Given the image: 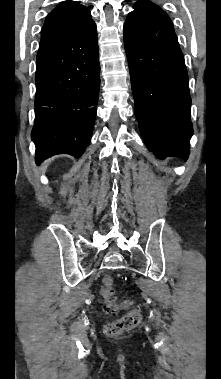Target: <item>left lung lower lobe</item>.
<instances>
[{
  "label": "left lung lower lobe",
  "mask_w": 221,
  "mask_h": 379,
  "mask_svg": "<svg viewBox=\"0 0 221 379\" xmlns=\"http://www.w3.org/2000/svg\"><path fill=\"white\" fill-rule=\"evenodd\" d=\"M124 45L135 115L147 148L161 159L187 160L191 97L172 21L156 4L140 0L125 21Z\"/></svg>",
  "instance_id": "obj_1"
}]
</instances>
